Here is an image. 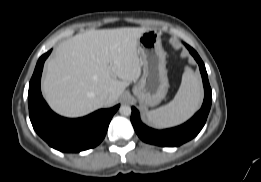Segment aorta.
<instances>
[{
  "label": "aorta",
  "instance_id": "1",
  "mask_svg": "<svg viewBox=\"0 0 261 182\" xmlns=\"http://www.w3.org/2000/svg\"><path fill=\"white\" fill-rule=\"evenodd\" d=\"M119 112L123 116H129V115H131L132 110H131V107L128 105H122L119 109Z\"/></svg>",
  "mask_w": 261,
  "mask_h": 182
}]
</instances>
